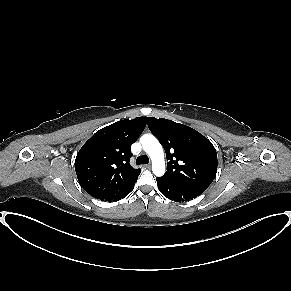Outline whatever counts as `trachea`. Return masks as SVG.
Masks as SVG:
<instances>
[{
    "instance_id": "obj_1",
    "label": "trachea",
    "mask_w": 291,
    "mask_h": 291,
    "mask_svg": "<svg viewBox=\"0 0 291 291\" xmlns=\"http://www.w3.org/2000/svg\"><path fill=\"white\" fill-rule=\"evenodd\" d=\"M149 163V158L146 155H141L137 157L136 159V164H148Z\"/></svg>"
}]
</instances>
